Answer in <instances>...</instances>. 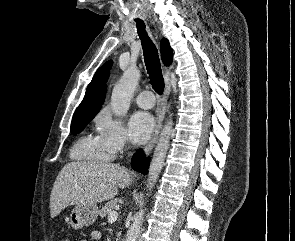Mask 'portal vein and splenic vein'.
Listing matches in <instances>:
<instances>
[{
	"mask_svg": "<svg viewBox=\"0 0 295 241\" xmlns=\"http://www.w3.org/2000/svg\"><path fill=\"white\" fill-rule=\"evenodd\" d=\"M118 217L117 211H111L108 215V220L114 221Z\"/></svg>",
	"mask_w": 295,
	"mask_h": 241,
	"instance_id": "1",
	"label": "portal vein and splenic vein"
}]
</instances>
